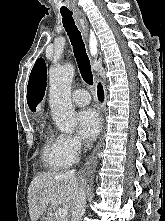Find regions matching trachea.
Here are the masks:
<instances>
[{
  "label": "trachea",
  "instance_id": "trachea-1",
  "mask_svg": "<svg viewBox=\"0 0 165 221\" xmlns=\"http://www.w3.org/2000/svg\"><path fill=\"white\" fill-rule=\"evenodd\" d=\"M60 13L62 15L63 26L73 46L74 55L81 76L87 84L93 85V75L91 71L90 60L86 53L85 44L82 40L81 33L75 25L72 12L69 10H61Z\"/></svg>",
  "mask_w": 165,
  "mask_h": 221
}]
</instances>
